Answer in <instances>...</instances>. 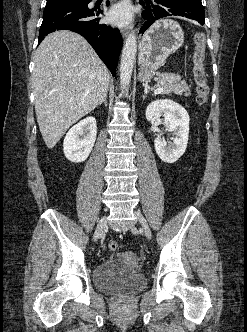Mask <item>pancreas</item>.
<instances>
[{
	"mask_svg": "<svg viewBox=\"0 0 247 332\" xmlns=\"http://www.w3.org/2000/svg\"><path fill=\"white\" fill-rule=\"evenodd\" d=\"M164 88L163 94H177L182 95H190V90L186 81L181 80V76L179 74L169 73V74H161L158 77V82L154 86V88Z\"/></svg>",
	"mask_w": 247,
	"mask_h": 332,
	"instance_id": "pancreas-1",
	"label": "pancreas"
}]
</instances>
